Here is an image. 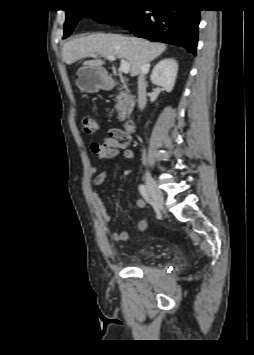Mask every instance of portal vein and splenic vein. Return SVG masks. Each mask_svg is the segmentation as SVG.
<instances>
[{
    "instance_id": "portal-vein-and-splenic-vein-1",
    "label": "portal vein and splenic vein",
    "mask_w": 254,
    "mask_h": 355,
    "mask_svg": "<svg viewBox=\"0 0 254 355\" xmlns=\"http://www.w3.org/2000/svg\"><path fill=\"white\" fill-rule=\"evenodd\" d=\"M92 56H94V54H92ZM106 58L110 61H114L116 59V57L114 55H108L106 56ZM120 70L124 73V74H128L130 71V63L128 61L125 60H121L120 63Z\"/></svg>"
}]
</instances>
